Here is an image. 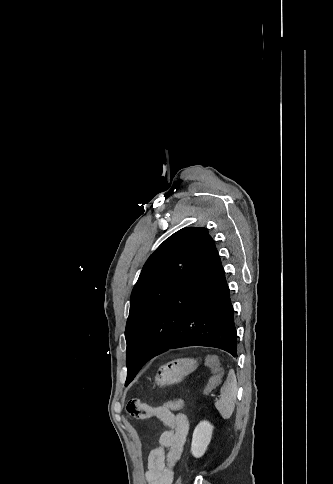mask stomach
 <instances>
[{
  "mask_svg": "<svg viewBox=\"0 0 333 484\" xmlns=\"http://www.w3.org/2000/svg\"><path fill=\"white\" fill-rule=\"evenodd\" d=\"M197 361L191 358L175 359L159 367L155 382L163 387L180 382L197 368Z\"/></svg>",
  "mask_w": 333,
  "mask_h": 484,
  "instance_id": "0dacf381",
  "label": "stomach"
}]
</instances>
